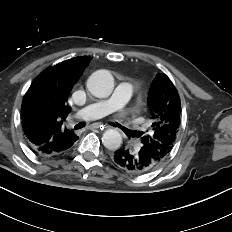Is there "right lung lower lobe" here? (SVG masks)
<instances>
[{
  "mask_svg": "<svg viewBox=\"0 0 232 232\" xmlns=\"http://www.w3.org/2000/svg\"><path fill=\"white\" fill-rule=\"evenodd\" d=\"M25 135L31 150L40 156H55L68 151L73 144L78 140L76 134L73 135H54L49 142L37 145L35 140L30 137L31 133L35 132L27 128Z\"/></svg>",
  "mask_w": 232,
  "mask_h": 232,
  "instance_id": "obj_1",
  "label": "right lung lower lobe"
}]
</instances>
